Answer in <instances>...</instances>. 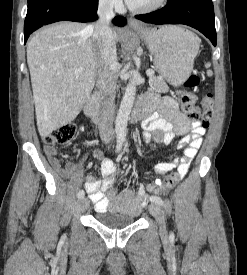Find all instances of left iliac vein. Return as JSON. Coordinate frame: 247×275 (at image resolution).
<instances>
[{
    "label": "left iliac vein",
    "instance_id": "obj_1",
    "mask_svg": "<svg viewBox=\"0 0 247 275\" xmlns=\"http://www.w3.org/2000/svg\"><path fill=\"white\" fill-rule=\"evenodd\" d=\"M149 212L157 220L162 238H166L167 230L165 224V216L161 206L158 203L153 202L149 206Z\"/></svg>",
    "mask_w": 247,
    "mask_h": 275
}]
</instances>
